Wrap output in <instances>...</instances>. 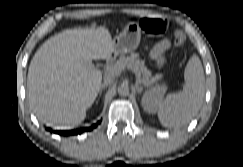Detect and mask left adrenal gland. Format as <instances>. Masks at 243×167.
<instances>
[{"label": "left adrenal gland", "mask_w": 243, "mask_h": 167, "mask_svg": "<svg viewBox=\"0 0 243 167\" xmlns=\"http://www.w3.org/2000/svg\"><path fill=\"white\" fill-rule=\"evenodd\" d=\"M134 89H135V90H136V92L139 94V93H141V92H142L143 87H142V86H140V85H138V84H135Z\"/></svg>", "instance_id": "left-adrenal-gland-1"}]
</instances>
